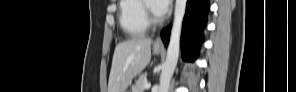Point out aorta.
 Returning a JSON list of instances; mask_svg holds the SVG:
<instances>
[{"instance_id": "aorta-1", "label": "aorta", "mask_w": 296, "mask_h": 92, "mask_svg": "<svg viewBox=\"0 0 296 92\" xmlns=\"http://www.w3.org/2000/svg\"><path fill=\"white\" fill-rule=\"evenodd\" d=\"M187 0H176L174 21L166 61L160 75L159 92H168L171 78L177 65L180 46L182 22L186 11Z\"/></svg>"}]
</instances>
